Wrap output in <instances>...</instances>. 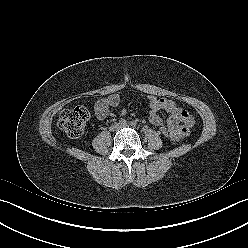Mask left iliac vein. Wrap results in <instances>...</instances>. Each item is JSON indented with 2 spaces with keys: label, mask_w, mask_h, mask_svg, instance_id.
Masks as SVG:
<instances>
[{
  "label": "left iliac vein",
  "mask_w": 248,
  "mask_h": 248,
  "mask_svg": "<svg viewBox=\"0 0 248 248\" xmlns=\"http://www.w3.org/2000/svg\"><path fill=\"white\" fill-rule=\"evenodd\" d=\"M128 124L127 123H124V124H120V127H127Z\"/></svg>",
  "instance_id": "left-iliac-vein-1"
}]
</instances>
